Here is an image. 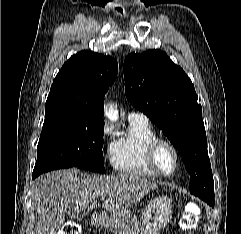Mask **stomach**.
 Segmentation results:
<instances>
[{
  "label": "stomach",
  "mask_w": 241,
  "mask_h": 234,
  "mask_svg": "<svg viewBox=\"0 0 241 234\" xmlns=\"http://www.w3.org/2000/svg\"><path fill=\"white\" fill-rule=\"evenodd\" d=\"M172 217V206L169 199L154 198L143 211L141 223L127 210L116 215H105L103 221L114 224L119 234H160V231L169 223Z\"/></svg>",
  "instance_id": "stomach-1"
}]
</instances>
